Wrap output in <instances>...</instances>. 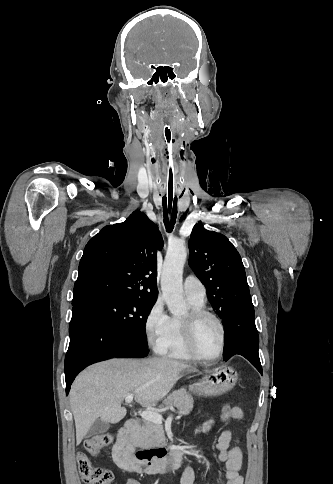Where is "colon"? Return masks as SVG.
<instances>
[{
  "mask_svg": "<svg viewBox=\"0 0 333 484\" xmlns=\"http://www.w3.org/2000/svg\"><path fill=\"white\" fill-rule=\"evenodd\" d=\"M234 406L226 405L219 413L222 420H227ZM113 441L111 434L105 433L89 438L85 442L86 452L90 455H97L100 449L109 446ZM79 472L82 480L87 484H112L114 475L106 468H102L92 463L86 453L80 452L77 455Z\"/></svg>",
  "mask_w": 333,
  "mask_h": 484,
  "instance_id": "5ec220e1",
  "label": "colon"
}]
</instances>
